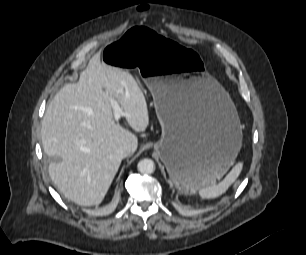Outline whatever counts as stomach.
Instances as JSON below:
<instances>
[{
    "label": "stomach",
    "mask_w": 306,
    "mask_h": 255,
    "mask_svg": "<svg viewBox=\"0 0 306 255\" xmlns=\"http://www.w3.org/2000/svg\"><path fill=\"white\" fill-rule=\"evenodd\" d=\"M103 62L136 66L162 128L154 151L184 194L210 186L234 163L242 128L229 94L193 49L144 27H132L101 50Z\"/></svg>",
    "instance_id": "1"
}]
</instances>
